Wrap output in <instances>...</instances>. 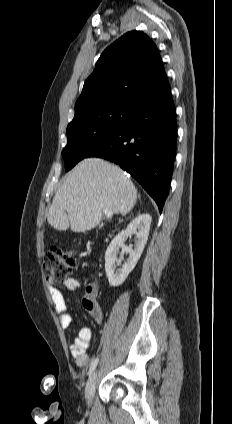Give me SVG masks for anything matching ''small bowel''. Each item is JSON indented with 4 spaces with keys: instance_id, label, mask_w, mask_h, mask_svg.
<instances>
[{
    "instance_id": "1",
    "label": "small bowel",
    "mask_w": 232,
    "mask_h": 424,
    "mask_svg": "<svg viewBox=\"0 0 232 424\" xmlns=\"http://www.w3.org/2000/svg\"><path fill=\"white\" fill-rule=\"evenodd\" d=\"M64 287L68 291H74L81 287V283L76 278H67L64 281ZM87 299L84 300V307L89 312L90 305L93 307V312H89L92 317L97 322H102L103 320V314L101 311L100 306L96 303L94 298L96 297L98 293V286L97 284H89L85 288ZM52 303L55 307V309L59 313V319L60 324L63 328H67L70 326L72 322L71 315L67 312V305L66 300L64 297V294L61 290L55 287H51L49 290ZM92 340V331L88 327H84L80 329L77 337L75 338L74 342L70 345V352L75 359V362L79 366H86L90 362V356L87 353V349L90 345V342Z\"/></svg>"
}]
</instances>
